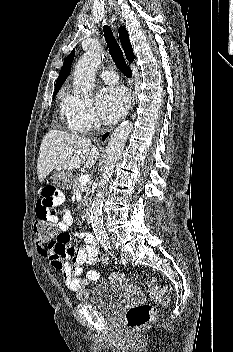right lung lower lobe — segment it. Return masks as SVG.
I'll return each mask as SVG.
<instances>
[{"mask_svg": "<svg viewBox=\"0 0 233 352\" xmlns=\"http://www.w3.org/2000/svg\"><path fill=\"white\" fill-rule=\"evenodd\" d=\"M108 135H109V133H106V134L102 137V140H104Z\"/></svg>", "mask_w": 233, "mask_h": 352, "instance_id": "98d812e1", "label": "right lung lower lobe"}]
</instances>
